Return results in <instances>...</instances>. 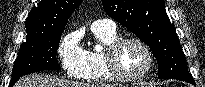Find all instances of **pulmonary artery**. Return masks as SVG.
I'll use <instances>...</instances> for the list:
<instances>
[{
	"label": "pulmonary artery",
	"instance_id": "1",
	"mask_svg": "<svg viewBox=\"0 0 205 87\" xmlns=\"http://www.w3.org/2000/svg\"><path fill=\"white\" fill-rule=\"evenodd\" d=\"M92 29H103L108 31L116 30L115 23L112 20H96L91 25Z\"/></svg>",
	"mask_w": 205,
	"mask_h": 87
}]
</instances>
